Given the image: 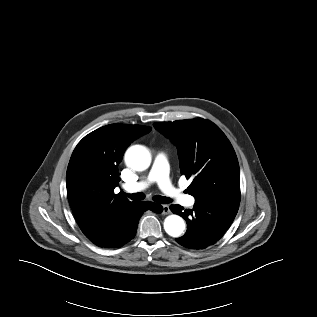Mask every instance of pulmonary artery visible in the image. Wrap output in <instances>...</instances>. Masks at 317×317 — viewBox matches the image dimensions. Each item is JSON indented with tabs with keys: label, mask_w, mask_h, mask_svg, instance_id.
I'll return each mask as SVG.
<instances>
[{
	"label": "pulmonary artery",
	"mask_w": 317,
	"mask_h": 317,
	"mask_svg": "<svg viewBox=\"0 0 317 317\" xmlns=\"http://www.w3.org/2000/svg\"><path fill=\"white\" fill-rule=\"evenodd\" d=\"M152 183H157L170 200L176 201L186 207H191L195 204V198L193 196L182 193L181 190L172 185L169 178L168 160L166 155L162 152L156 155L146 179L127 185L125 191L128 194L137 193L145 190Z\"/></svg>",
	"instance_id": "1"
}]
</instances>
